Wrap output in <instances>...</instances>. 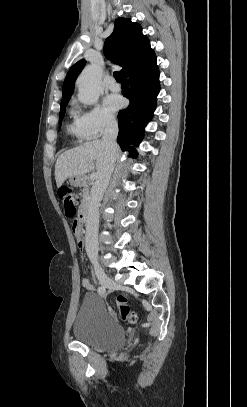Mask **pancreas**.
Here are the masks:
<instances>
[{"label": "pancreas", "instance_id": "pancreas-1", "mask_svg": "<svg viewBox=\"0 0 247 407\" xmlns=\"http://www.w3.org/2000/svg\"><path fill=\"white\" fill-rule=\"evenodd\" d=\"M83 194H82V201H81V205L84 206L90 198V193H89V187L88 185H86L83 190H82Z\"/></svg>", "mask_w": 247, "mask_h": 407}]
</instances>
